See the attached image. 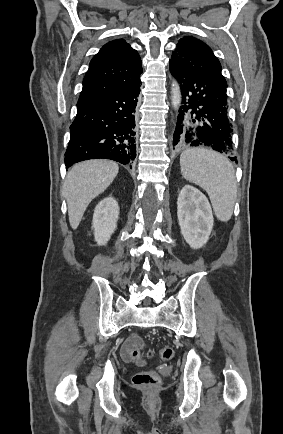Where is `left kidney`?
I'll use <instances>...</instances> for the list:
<instances>
[{
  "label": "left kidney",
  "instance_id": "1",
  "mask_svg": "<svg viewBox=\"0 0 283 434\" xmlns=\"http://www.w3.org/2000/svg\"><path fill=\"white\" fill-rule=\"evenodd\" d=\"M177 217L181 234L190 247H203L209 239L214 223L206 196L197 188L185 185L178 196Z\"/></svg>",
  "mask_w": 283,
  "mask_h": 434
}]
</instances>
